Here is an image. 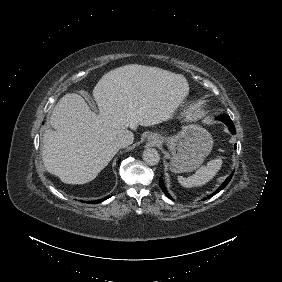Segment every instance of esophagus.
<instances>
[{
    "label": "esophagus",
    "instance_id": "obj_1",
    "mask_svg": "<svg viewBox=\"0 0 282 282\" xmlns=\"http://www.w3.org/2000/svg\"><path fill=\"white\" fill-rule=\"evenodd\" d=\"M147 141L150 144V146H156L160 140L159 137L152 135L148 137Z\"/></svg>",
    "mask_w": 282,
    "mask_h": 282
}]
</instances>
